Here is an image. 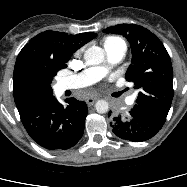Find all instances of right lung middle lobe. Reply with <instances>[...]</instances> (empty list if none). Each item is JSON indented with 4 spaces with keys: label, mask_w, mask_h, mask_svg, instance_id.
Here are the masks:
<instances>
[{
    "label": "right lung middle lobe",
    "mask_w": 187,
    "mask_h": 187,
    "mask_svg": "<svg viewBox=\"0 0 187 187\" xmlns=\"http://www.w3.org/2000/svg\"><path fill=\"white\" fill-rule=\"evenodd\" d=\"M65 68L55 64L42 65L32 63L26 66L20 77L22 87L34 96H47L52 94L50 86L53 77L60 69Z\"/></svg>",
    "instance_id": "dd1d6c3e"
}]
</instances>
